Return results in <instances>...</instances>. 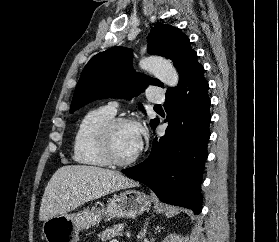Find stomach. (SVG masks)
I'll list each match as a JSON object with an SVG mask.
<instances>
[{"instance_id":"1","label":"stomach","mask_w":279,"mask_h":242,"mask_svg":"<svg viewBox=\"0 0 279 242\" xmlns=\"http://www.w3.org/2000/svg\"><path fill=\"white\" fill-rule=\"evenodd\" d=\"M151 198L129 189L115 195L106 207L84 209L78 213L56 215L43 223L42 234L47 242H78L79 233L98 224L103 217L134 218L147 211Z\"/></svg>"}]
</instances>
